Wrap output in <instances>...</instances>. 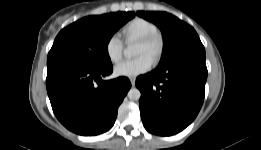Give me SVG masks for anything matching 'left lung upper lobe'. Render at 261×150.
<instances>
[{"instance_id":"1","label":"left lung upper lobe","mask_w":261,"mask_h":150,"mask_svg":"<svg viewBox=\"0 0 261 150\" xmlns=\"http://www.w3.org/2000/svg\"><path fill=\"white\" fill-rule=\"evenodd\" d=\"M137 15L153 22L160 28L164 40L161 62L166 60L183 44L193 39H199L197 33L190 25L166 12L138 11Z\"/></svg>"}]
</instances>
